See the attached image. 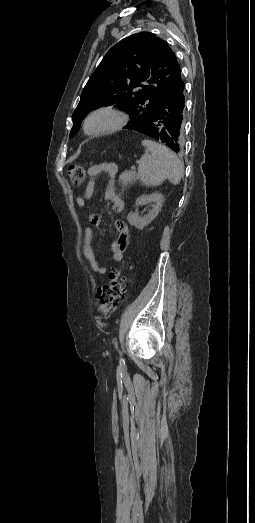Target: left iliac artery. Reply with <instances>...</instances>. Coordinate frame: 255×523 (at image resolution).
Masks as SVG:
<instances>
[{
    "label": "left iliac artery",
    "mask_w": 255,
    "mask_h": 523,
    "mask_svg": "<svg viewBox=\"0 0 255 523\" xmlns=\"http://www.w3.org/2000/svg\"><path fill=\"white\" fill-rule=\"evenodd\" d=\"M115 348L118 349V343L117 341L115 342ZM122 360V359H121Z\"/></svg>",
    "instance_id": "44dca946"
}]
</instances>
